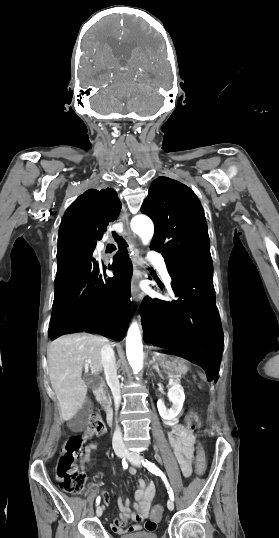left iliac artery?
I'll use <instances>...</instances> for the list:
<instances>
[{
	"label": "left iliac artery",
	"mask_w": 279,
	"mask_h": 538,
	"mask_svg": "<svg viewBox=\"0 0 279 538\" xmlns=\"http://www.w3.org/2000/svg\"><path fill=\"white\" fill-rule=\"evenodd\" d=\"M141 462L143 466L146 467L151 473L161 477L165 486L167 487L170 499L174 500L173 490L170 487L165 474L154 463L150 462L149 460L146 459V460H142Z\"/></svg>",
	"instance_id": "obj_1"
}]
</instances>
